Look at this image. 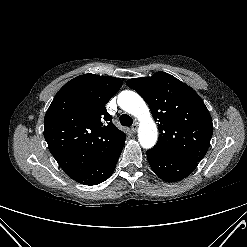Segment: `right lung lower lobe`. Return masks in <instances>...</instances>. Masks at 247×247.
<instances>
[{
  "instance_id": "right-lung-lower-lobe-1",
  "label": "right lung lower lobe",
  "mask_w": 247,
  "mask_h": 247,
  "mask_svg": "<svg viewBox=\"0 0 247 247\" xmlns=\"http://www.w3.org/2000/svg\"><path fill=\"white\" fill-rule=\"evenodd\" d=\"M124 142L107 155L103 160L89 169L87 172L76 177L74 180L84 185H97L107 180L113 173L118 158L123 149Z\"/></svg>"
}]
</instances>
